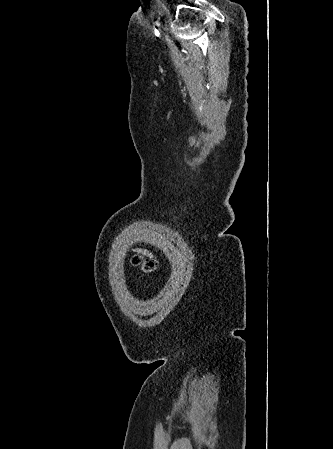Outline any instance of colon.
<instances>
[{"instance_id":"colon-1","label":"colon","mask_w":333,"mask_h":449,"mask_svg":"<svg viewBox=\"0 0 333 449\" xmlns=\"http://www.w3.org/2000/svg\"><path fill=\"white\" fill-rule=\"evenodd\" d=\"M130 264L139 269L142 274L150 275L157 269V263L154 260L144 258L140 255L133 254L129 257Z\"/></svg>"}]
</instances>
